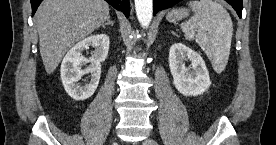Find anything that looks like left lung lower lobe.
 Returning a JSON list of instances; mask_svg holds the SVG:
<instances>
[{"mask_svg":"<svg viewBox=\"0 0 276 145\" xmlns=\"http://www.w3.org/2000/svg\"><path fill=\"white\" fill-rule=\"evenodd\" d=\"M154 1V10L153 15L158 11L167 9L181 0H153ZM237 12L238 16H242V0H226Z\"/></svg>","mask_w":276,"mask_h":145,"instance_id":"1","label":"left lung lower lobe"}]
</instances>
